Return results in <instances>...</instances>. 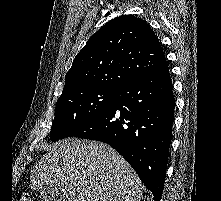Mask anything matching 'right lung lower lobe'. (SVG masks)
I'll return each mask as SVG.
<instances>
[{
  "label": "right lung lower lobe",
  "instance_id": "right-lung-lower-lobe-1",
  "mask_svg": "<svg viewBox=\"0 0 221 201\" xmlns=\"http://www.w3.org/2000/svg\"><path fill=\"white\" fill-rule=\"evenodd\" d=\"M175 98L167 62L117 89L112 101L68 137L99 140L117 150L160 201Z\"/></svg>",
  "mask_w": 221,
  "mask_h": 201
}]
</instances>
